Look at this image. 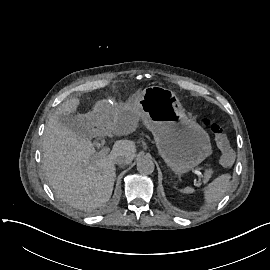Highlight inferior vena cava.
Returning <instances> with one entry per match:
<instances>
[{"mask_svg": "<svg viewBox=\"0 0 270 270\" xmlns=\"http://www.w3.org/2000/svg\"><path fill=\"white\" fill-rule=\"evenodd\" d=\"M114 163L116 164H128V160L125 156L116 155L114 158Z\"/></svg>", "mask_w": 270, "mask_h": 270, "instance_id": "obj_1", "label": "inferior vena cava"}]
</instances>
